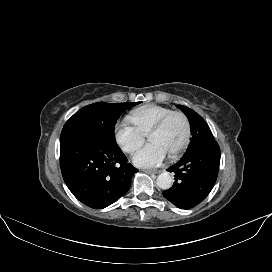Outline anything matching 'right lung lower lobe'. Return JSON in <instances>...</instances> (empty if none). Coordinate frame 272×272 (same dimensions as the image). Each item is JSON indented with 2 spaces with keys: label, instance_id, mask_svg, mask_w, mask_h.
<instances>
[{
  "label": "right lung lower lobe",
  "instance_id": "right-lung-lower-lobe-1",
  "mask_svg": "<svg viewBox=\"0 0 272 272\" xmlns=\"http://www.w3.org/2000/svg\"><path fill=\"white\" fill-rule=\"evenodd\" d=\"M60 167L72 194L85 205L100 209L123 196L138 171L127 163L117 143L82 129L61 132Z\"/></svg>",
  "mask_w": 272,
  "mask_h": 272
}]
</instances>
